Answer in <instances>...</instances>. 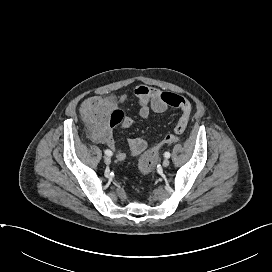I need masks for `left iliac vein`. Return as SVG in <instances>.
I'll use <instances>...</instances> for the list:
<instances>
[{
  "label": "left iliac vein",
  "instance_id": "1",
  "mask_svg": "<svg viewBox=\"0 0 272 272\" xmlns=\"http://www.w3.org/2000/svg\"><path fill=\"white\" fill-rule=\"evenodd\" d=\"M169 164H170V161H169L167 158L164 159V161H163V166H164V167H168Z\"/></svg>",
  "mask_w": 272,
  "mask_h": 272
}]
</instances>
